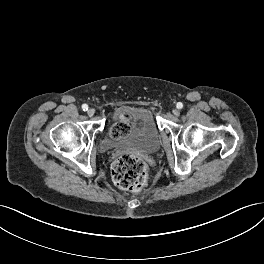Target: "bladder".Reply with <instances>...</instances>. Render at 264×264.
Wrapping results in <instances>:
<instances>
[{"label":"bladder","instance_id":"obj_1","mask_svg":"<svg viewBox=\"0 0 264 264\" xmlns=\"http://www.w3.org/2000/svg\"><path fill=\"white\" fill-rule=\"evenodd\" d=\"M114 118L115 121L128 120V130L125 134L116 136L113 134L116 124L113 125L101 144L102 150L130 149L142 154H152L159 149L160 131L152 111L141 107L120 108Z\"/></svg>","mask_w":264,"mask_h":264}]
</instances>
